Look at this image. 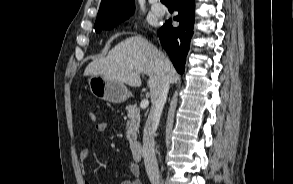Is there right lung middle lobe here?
I'll return each instance as SVG.
<instances>
[{"label":"right lung middle lobe","mask_w":293,"mask_h":184,"mask_svg":"<svg viewBox=\"0 0 293 184\" xmlns=\"http://www.w3.org/2000/svg\"><path fill=\"white\" fill-rule=\"evenodd\" d=\"M128 17H125V18H122V19H119V20H116V21H113V22H110V23H106V24H102V25H97L95 24L94 25V28H95V31L97 33H100L102 30H110L112 29L113 27H115L116 25H118L120 22L128 19Z\"/></svg>","instance_id":"dd1d6c3e"}]
</instances>
